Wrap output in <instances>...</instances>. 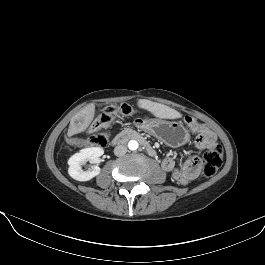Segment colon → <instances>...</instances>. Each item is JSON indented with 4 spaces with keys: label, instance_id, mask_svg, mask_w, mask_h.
Instances as JSON below:
<instances>
[{
    "label": "colon",
    "instance_id": "obj_1",
    "mask_svg": "<svg viewBox=\"0 0 265 265\" xmlns=\"http://www.w3.org/2000/svg\"><path fill=\"white\" fill-rule=\"evenodd\" d=\"M137 113V110L129 104L119 106H108L90 124L87 133L90 135L87 143L96 147H104L108 143V134L101 132L108 127L117 117H129ZM187 125L195 131H201L203 124L196 121L193 117L185 118ZM223 163V150L219 145H213L206 149L202 159L203 174L206 177L215 175Z\"/></svg>",
    "mask_w": 265,
    "mask_h": 265
}]
</instances>
